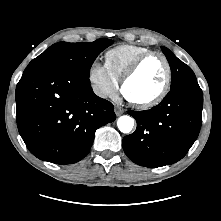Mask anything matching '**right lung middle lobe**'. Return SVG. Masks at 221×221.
<instances>
[{
  "label": "right lung middle lobe",
  "instance_id": "1",
  "mask_svg": "<svg viewBox=\"0 0 221 221\" xmlns=\"http://www.w3.org/2000/svg\"><path fill=\"white\" fill-rule=\"evenodd\" d=\"M110 39L102 38L94 42H58L33 59L26 69L37 67L74 71L89 77L90 68L96 57L108 46Z\"/></svg>",
  "mask_w": 221,
  "mask_h": 221
}]
</instances>
